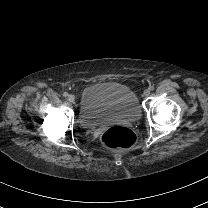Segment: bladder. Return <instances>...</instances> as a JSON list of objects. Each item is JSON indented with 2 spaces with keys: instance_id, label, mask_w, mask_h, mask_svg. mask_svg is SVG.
I'll return each mask as SVG.
<instances>
[{
  "instance_id": "1",
  "label": "bladder",
  "mask_w": 208,
  "mask_h": 208,
  "mask_svg": "<svg viewBox=\"0 0 208 208\" xmlns=\"http://www.w3.org/2000/svg\"><path fill=\"white\" fill-rule=\"evenodd\" d=\"M81 117L86 123L105 124L112 120L136 121L141 109L135 93L125 85H88L81 99Z\"/></svg>"
}]
</instances>
